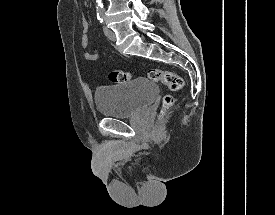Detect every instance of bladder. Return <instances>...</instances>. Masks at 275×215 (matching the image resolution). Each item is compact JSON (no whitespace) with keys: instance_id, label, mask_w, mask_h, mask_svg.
Wrapping results in <instances>:
<instances>
[{"instance_id":"obj_1","label":"bladder","mask_w":275,"mask_h":215,"mask_svg":"<svg viewBox=\"0 0 275 215\" xmlns=\"http://www.w3.org/2000/svg\"><path fill=\"white\" fill-rule=\"evenodd\" d=\"M159 93L148 78L139 77L115 86L101 87L95 92V104L101 116L123 119L148 107Z\"/></svg>"}]
</instances>
